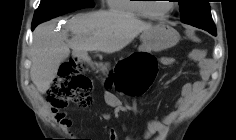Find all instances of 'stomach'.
Wrapping results in <instances>:
<instances>
[{"label": "stomach", "instance_id": "1", "mask_svg": "<svg viewBox=\"0 0 236 140\" xmlns=\"http://www.w3.org/2000/svg\"><path fill=\"white\" fill-rule=\"evenodd\" d=\"M142 51H162L175 46L179 40V33L166 23H159L141 36Z\"/></svg>", "mask_w": 236, "mask_h": 140}]
</instances>
